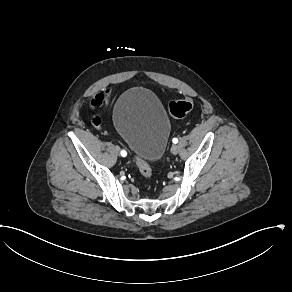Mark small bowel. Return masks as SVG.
Here are the masks:
<instances>
[{"label":"small bowel","instance_id":"small-bowel-1","mask_svg":"<svg viewBox=\"0 0 292 292\" xmlns=\"http://www.w3.org/2000/svg\"><path fill=\"white\" fill-rule=\"evenodd\" d=\"M106 93H107L108 95H111V94H115V91H113L111 88H108V89L106 90ZM109 100H112V97H109ZM107 106H110V102H107Z\"/></svg>","mask_w":292,"mask_h":292}]
</instances>
